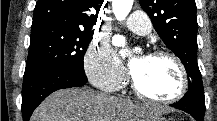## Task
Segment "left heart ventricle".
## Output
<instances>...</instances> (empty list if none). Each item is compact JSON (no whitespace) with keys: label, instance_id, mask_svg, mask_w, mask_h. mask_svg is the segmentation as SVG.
I'll return each mask as SVG.
<instances>
[{"label":"left heart ventricle","instance_id":"1","mask_svg":"<svg viewBox=\"0 0 217 121\" xmlns=\"http://www.w3.org/2000/svg\"><path fill=\"white\" fill-rule=\"evenodd\" d=\"M133 76L139 87L158 98L172 95L179 86V74L174 64L167 58L140 56Z\"/></svg>","mask_w":217,"mask_h":121}]
</instances>
